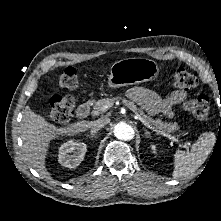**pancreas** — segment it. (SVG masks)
Returning a JSON list of instances; mask_svg holds the SVG:
<instances>
[{
	"label": "pancreas",
	"instance_id": "pancreas-1",
	"mask_svg": "<svg viewBox=\"0 0 221 221\" xmlns=\"http://www.w3.org/2000/svg\"><path fill=\"white\" fill-rule=\"evenodd\" d=\"M117 100H121L122 103L128 107L131 111L134 113H139L142 119L152 126L155 129H158L159 131L165 132V133H171L176 130H179V125L177 123H167L163 122L161 119L156 118L153 119L150 116L146 115L141 109H139L132 101H129L128 99L121 98V97H115V98H103L98 100L95 103V106L93 108L94 114H99L103 111V108L105 106L111 107Z\"/></svg>",
	"mask_w": 221,
	"mask_h": 221
}]
</instances>
